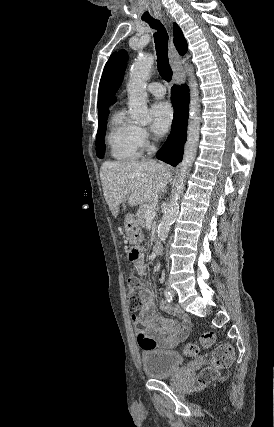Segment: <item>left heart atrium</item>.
<instances>
[{"mask_svg": "<svg viewBox=\"0 0 274 427\" xmlns=\"http://www.w3.org/2000/svg\"><path fill=\"white\" fill-rule=\"evenodd\" d=\"M152 122L150 129L157 136L164 135L171 124L173 112L166 101L156 102L151 108Z\"/></svg>", "mask_w": 274, "mask_h": 427, "instance_id": "obj_1", "label": "left heart atrium"}]
</instances>
